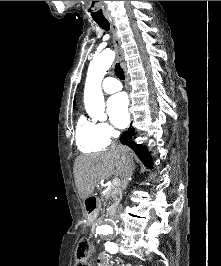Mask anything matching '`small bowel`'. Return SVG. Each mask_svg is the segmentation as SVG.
Returning <instances> with one entry per match:
<instances>
[{
  "mask_svg": "<svg viewBox=\"0 0 221 266\" xmlns=\"http://www.w3.org/2000/svg\"><path fill=\"white\" fill-rule=\"evenodd\" d=\"M96 266H113V262L111 260L110 255L107 253H102L101 255H99V257L97 258Z\"/></svg>",
  "mask_w": 221,
  "mask_h": 266,
  "instance_id": "c3829d8e",
  "label": "small bowel"
}]
</instances>
